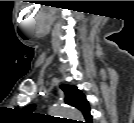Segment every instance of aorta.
<instances>
[{
	"label": "aorta",
	"instance_id": "aorta-1",
	"mask_svg": "<svg viewBox=\"0 0 134 123\" xmlns=\"http://www.w3.org/2000/svg\"><path fill=\"white\" fill-rule=\"evenodd\" d=\"M49 113L61 118L65 117L72 120L81 119V114L70 106L54 105L50 108Z\"/></svg>",
	"mask_w": 134,
	"mask_h": 123
}]
</instances>
